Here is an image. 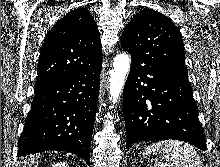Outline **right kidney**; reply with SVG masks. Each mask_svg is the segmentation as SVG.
Wrapping results in <instances>:
<instances>
[{
	"instance_id": "ca27d5eb",
	"label": "right kidney",
	"mask_w": 220,
	"mask_h": 167,
	"mask_svg": "<svg viewBox=\"0 0 220 167\" xmlns=\"http://www.w3.org/2000/svg\"><path fill=\"white\" fill-rule=\"evenodd\" d=\"M52 167H69V165L66 162H59Z\"/></svg>"
}]
</instances>
